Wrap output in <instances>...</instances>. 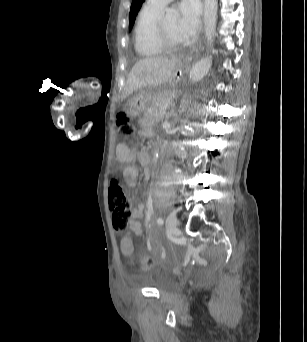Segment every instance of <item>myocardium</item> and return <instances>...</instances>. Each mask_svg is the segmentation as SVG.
<instances>
[{
  "label": "myocardium",
  "instance_id": "f54148a6",
  "mask_svg": "<svg viewBox=\"0 0 307 342\" xmlns=\"http://www.w3.org/2000/svg\"><path fill=\"white\" fill-rule=\"evenodd\" d=\"M154 43L160 52L166 55H176L180 51V49H172L166 44L163 38L162 21L159 18L154 24Z\"/></svg>",
  "mask_w": 307,
  "mask_h": 342
}]
</instances>
